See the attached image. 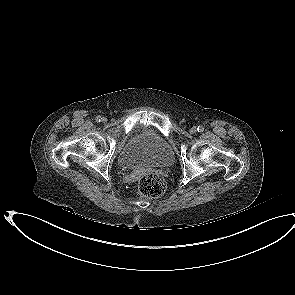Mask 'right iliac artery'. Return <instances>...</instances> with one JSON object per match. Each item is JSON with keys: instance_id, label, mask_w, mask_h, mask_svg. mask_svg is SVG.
Returning <instances> with one entry per match:
<instances>
[{"instance_id": "right-iliac-artery-1", "label": "right iliac artery", "mask_w": 295, "mask_h": 295, "mask_svg": "<svg viewBox=\"0 0 295 295\" xmlns=\"http://www.w3.org/2000/svg\"><path fill=\"white\" fill-rule=\"evenodd\" d=\"M96 121H97V122H101V121H102L101 116H97V117H96Z\"/></svg>"}]
</instances>
